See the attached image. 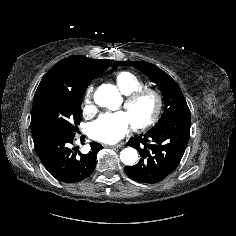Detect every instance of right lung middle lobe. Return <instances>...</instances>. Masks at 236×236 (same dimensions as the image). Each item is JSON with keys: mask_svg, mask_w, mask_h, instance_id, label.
I'll list each match as a JSON object with an SVG mask.
<instances>
[{"mask_svg": "<svg viewBox=\"0 0 236 236\" xmlns=\"http://www.w3.org/2000/svg\"><path fill=\"white\" fill-rule=\"evenodd\" d=\"M87 86L75 91L50 90L40 96L33 103L31 129H48L75 136L82 120L81 103Z\"/></svg>", "mask_w": 236, "mask_h": 236, "instance_id": "1", "label": "right lung middle lobe"}]
</instances>
